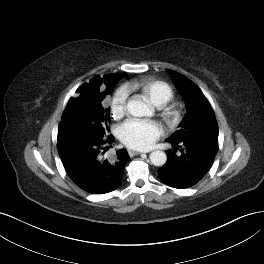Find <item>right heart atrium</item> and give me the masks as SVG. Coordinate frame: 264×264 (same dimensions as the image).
<instances>
[{
    "instance_id": "obj_1",
    "label": "right heart atrium",
    "mask_w": 264,
    "mask_h": 264,
    "mask_svg": "<svg viewBox=\"0 0 264 264\" xmlns=\"http://www.w3.org/2000/svg\"><path fill=\"white\" fill-rule=\"evenodd\" d=\"M128 91L126 88H119L109 100L110 111L113 117L121 118L127 112Z\"/></svg>"
}]
</instances>
